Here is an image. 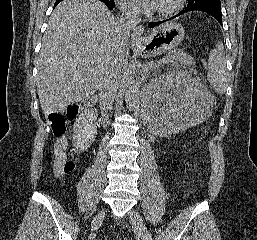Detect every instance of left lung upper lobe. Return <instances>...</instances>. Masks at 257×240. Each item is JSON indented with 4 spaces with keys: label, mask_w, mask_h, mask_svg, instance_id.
I'll list each match as a JSON object with an SVG mask.
<instances>
[{
    "label": "left lung upper lobe",
    "mask_w": 257,
    "mask_h": 240,
    "mask_svg": "<svg viewBox=\"0 0 257 240\" xmlns=\"http://www.w3.org/2000/svg\"><path fill=\"white\" fill-rule=\"evenodd\" d=\"M221 6L220 0H188L187 8Z\"/></svg>",
    "instance_id": "1"
}]
</instances>
